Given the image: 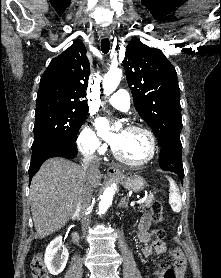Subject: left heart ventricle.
Wrapping results in <instances>:
<instances>
[{"label": "left heart ventricle", "mask_w": 221, "mask_h": 278, "mask_svg": "<svg viewBox=\"0 0 221 278\" xmlns=\"http://www.w3.org/2000/svg\"><path fill=\"white\" fill-rule=\"evenodd\" d=\"M122 141L115 147L117 151L131 161H142L149 156L148 137L141 132L124 130Z\"/></svg>", "instance_id": "b2bd125f"}]
</instances>
